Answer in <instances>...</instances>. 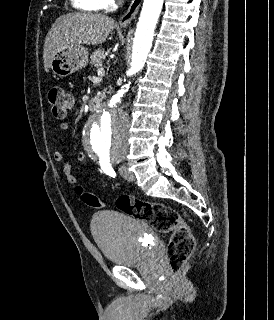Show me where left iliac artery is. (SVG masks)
<instances>
[{"label": "left iliac artery", "mask_w": 274, "mask_h": 320, "mask_svg": "<svg viewBox=\"0 0 274 320\" xmlns=\"http://www.w3.org/2000/svg\"><path fill=\"white\" fill-rule=\"evenodd\" d=\"M100 166L102 168V170L109 176L111 177H115L116 173L114 171V169L111 167V164L109 161L106 160H101L100 161Z\"/></svg>", "instance_id": "left-iliac-artery-1"}]
</instances>
